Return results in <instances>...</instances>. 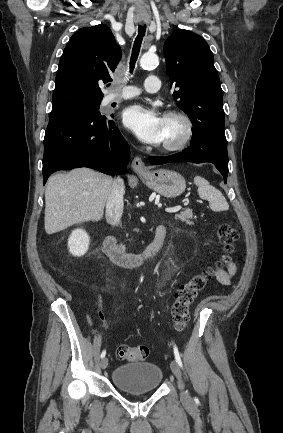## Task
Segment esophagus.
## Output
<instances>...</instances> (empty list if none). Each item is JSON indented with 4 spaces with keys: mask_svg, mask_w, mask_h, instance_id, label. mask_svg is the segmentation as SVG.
<instances>
[{
    "mask_svg": "<svg viewBox=\"0 0 283 433\" xmlns=\"http://www.w3.org/2000/svg\"><path fill=\"white\" fill-rule=\"evenodd\" d=\"M131 166H132V169L137 173L147 172V168H146L145 164L143 163L141 158H139L137 156L135 158H133Z\"/></svg>",
    "mask_w": 283,
    "mask_h": 433,
    "instance_id": "34e87169",
    "label": "esophagus"
}]
</instances>
